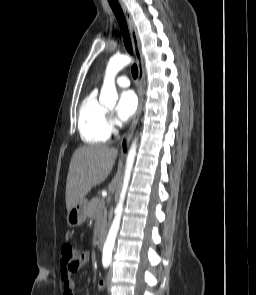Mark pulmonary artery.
Listing matches in <instances>:
<instances>
[{"mask_svg": "<svg viewBox=\"0 0 256 295\" xmlns=\"http://www.w3.org/2000/svg\"><path fill=\"white\" fill-rule=\"evenodd\" d=\"M116 83L118 84V86L122 87V88H127L130 86V80L127 76H119L116 80Z\"/></svg>", "mask_w": 256, "mask_h": 295, "instance_id": "pulmonary-artery-1", "label": "pulmonary artery"}]
</instances>
